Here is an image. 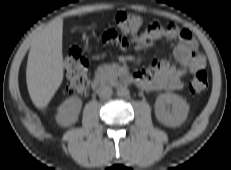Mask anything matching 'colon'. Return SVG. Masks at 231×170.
I'll return each instance as SVG.
<instances>
[{
  "label": "colon",
  "mask_w": 231,
  "mask_h": 170,
  "mask_svg": "<svg viewBox=\"0 0 231 170\" xmlns=\"http://www.w3.org/2000/svg\"><path fill=\"white\" fill-rule=\"evenodd\" d=\"M113 23L121 34L134 37L140 33L143 18L138 14L119 11L114 15ZM64 67L68 79L64 93L68 96L85 95L89 84L88 62L78 48L73 47L66 52ZM207 87V73L202 69L197 70L189 84L190 91L200 93L205 91Z\"/></svg>",
  "instance_id": "colon-1"
}]
</instances>
